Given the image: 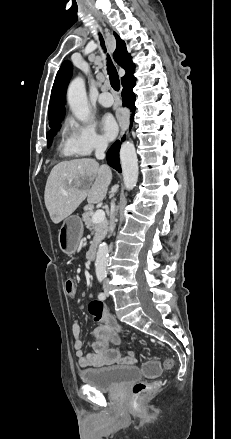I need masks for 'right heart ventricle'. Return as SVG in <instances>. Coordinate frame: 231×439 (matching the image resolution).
<instances>
[{"label": "right heart ventricle", "instance_id": "right-heart-ventricle-1", "mask_svg": "<svg viewBox=\"0 0 231 439\" xmlns=\"http://www.w3.org/2000/svg\"><path fill=\"white\" fill-rule=\"evenodd\" d=\"M59 151L66 157H72L76 155L70 147L69 132L65 129L62 138L59 143Z\"/></svg>", "mask_w": 231, "mask_h": 439}]
</instances>
